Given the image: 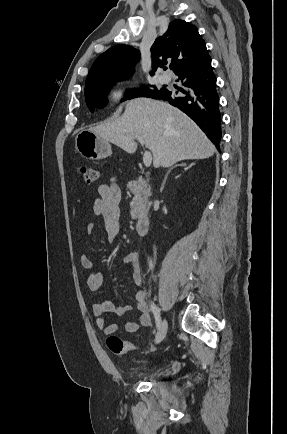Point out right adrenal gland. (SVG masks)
Returning a JSON list of instances; mask_svg holds the SVG:
<instances>
[{"instance_id":"obj_1","label":"right adrenal gland","mask_w":287,"mask_h":434,"mask_svg":"<svg viewBox=\"0 0 287 434\" xmlns=\"http://www.w3.org/2000/svg\"><path fill=\"white\" fill-rule=\"evenodd\" d=\"M178 166L185 167L186 164H185V163H181V164L175 165L174 167H172L171 169H169L168 172H167L166 175H165V178H164V181H163V184H162V188L164 187V185H165V183H166V180H167V177H168L169 173H170V172H171L175 167H178ZM185 169H187V168H185Z\"/></svg>"}]
</instances>
